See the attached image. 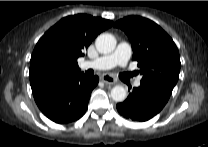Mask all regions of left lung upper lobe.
<instances>
[{"label": "left lung upper lobe", "instance_id": "left-lung-upper-lobe-1", "mask_svg": "<svg viewBox=\"0 0 208 147\" xmlns=\"http://www.w3.org/2000/svg\"><path fill=\"white\" fill-rule=\"evenodd\" d=\"M129 37L132 60L138 61L141 83L153 84L172 92L180 72V56L171 37L155 22L128 16L114 24Z\"/></svg>", "mask_w": 208, "mask_h": 147}]
</instances>
